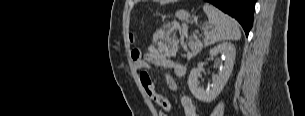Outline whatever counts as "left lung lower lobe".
Segmentation results:
<instances>
[{
    "instance_id": "1",
    "label": "left lung lower lobe",
    "mask_w": 305,
    "mask_h": 116,
    "mask_svg": "<svg viewBox=\"0 0 305 116\" xmlns=\"http://www.w3.org/2000/svg\"><path fill=\"white\" fill-rule=\"evenodd\" d=\"M223 12L238 20L246 35L253 24V13L256 0H205Z\"/></svg>"
}]
</instances>
